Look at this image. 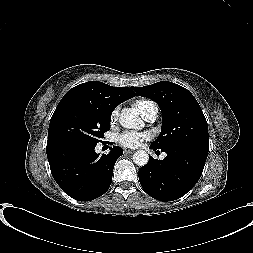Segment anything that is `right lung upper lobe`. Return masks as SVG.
I'll return each instance as SVG.
<instances>
[{
  "instance_id": "obj_1",
  "label": "right lung upper lobe",
  "mask_w": 253,
  "mask_h": 253,
  "mask_svg": "<svg viewBox=\"0 0 253 253\" xmlns=\"http://www.w3.org/2000/svg\"><path fill=\"white\" fill-rule=\"evenodd\" d=\"M135 95L129 87H113L99 81H89L70 89L60 102L81 100L113 111L117 105Z\"/></svg>"
}]
</instances>
